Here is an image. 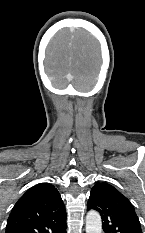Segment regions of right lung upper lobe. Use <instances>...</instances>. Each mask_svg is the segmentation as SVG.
Instances as JSON below:
<instances>
[{"label": "right lung upper lobe", "instance_id": "obj_1", "mask_svg": "<svg viewBox=\"0 0 145 233\" xmlns=\"http://www.w3.org/2000/svg\"><path fill=\"white\" fill-rule=\"evenodd\" d=\"M65 225V206L58 190L52 184L40 183L17 201L6 233H57Z\"/></svg>", "mask_w": 145, "mask_h": 233}]
</instances>
